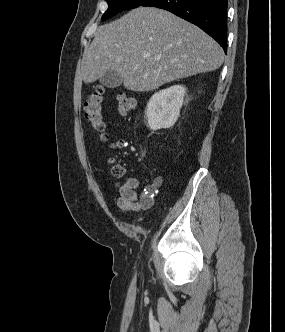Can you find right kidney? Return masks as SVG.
<instances>
[{"instance_id":"1","label":"right kidney","mask_w":285,"mask_h":332,"mask_svg":"<svg viewBox=\"0 0 285 332\" xmlns=\"http://www.w3.org/2000/svg\"><path fill=\"white\" fill-rule=\"evenodd\" d=\"M186 88L174 85L155 93L149 100L145 111L148 126L156 131L170 128L177 121L183 105Z\"/></svg>"}]
</instances>
